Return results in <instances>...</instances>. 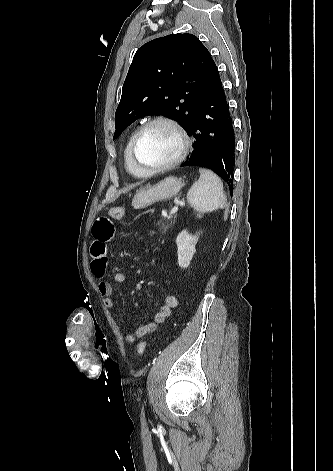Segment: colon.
I'll use <instances>...</instances> for the list:
<instances>
[{"label":"colon","mask_w":333,"mask_h":471,"mask_svg":"<svg viewBox=\"0 0 333 471\" xmlns=\"http://www.w3.org/2000/svg\"><path fill=\"white\" fill-rule=\"evenodd\" d=\"M126 211L123 207L120 206H113L109 209V216L114 219H119L124 217ZM147 343L146 341H142L137 346V353L138 355H142L146 349Z\"/></svg>","instance_id":"5ec220e1"}]
</instances>
